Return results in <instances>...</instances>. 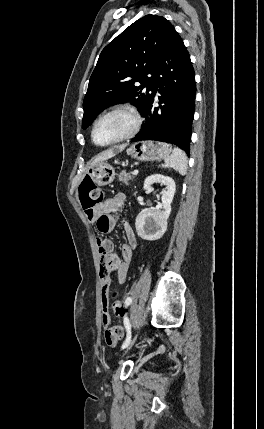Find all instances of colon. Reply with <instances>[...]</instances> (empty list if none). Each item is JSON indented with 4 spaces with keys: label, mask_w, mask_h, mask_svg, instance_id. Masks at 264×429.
Masks as SVG:
<instances>
[{
    "label": "colon",
    "mask_w": 264,
    "mask_h": 429,
    "mask_svg": "<svg viewBox=\"0 0 264 429\" xmlns=\"http://www.w3.org/2000/svg\"><path fill=\"white\" fill-rule=\"evenodd\" d=\"M104 197V191L90 178L84 179L79 186V200L85 212L92 213L95 207L103 202ZM112 308L119 317L128 313V308L119 299H114Z\"/></svg>",
    "instance_id": "1"
}]
</instances>
